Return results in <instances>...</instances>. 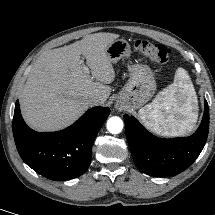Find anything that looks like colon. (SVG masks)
<instances>
[{
	"label": "colon",
	"instance_id": "1",
	"mask_svg": "<svg viewBox=\"0 0 215 215\" xmlns=\"http://www.w3.org/2000/svg\"><path fill=\"white\" fill-rule=\"evenodd\" d=\"M134 47L137 52L159 64H166L171 58V51L166 46L148 40H137Z\"/></svg>",
	"mask_w": 215,
	"mask_h": 215
}]
</instances>
